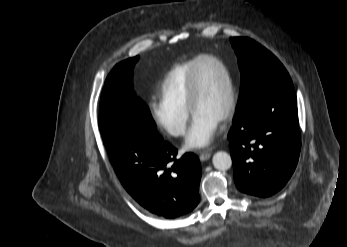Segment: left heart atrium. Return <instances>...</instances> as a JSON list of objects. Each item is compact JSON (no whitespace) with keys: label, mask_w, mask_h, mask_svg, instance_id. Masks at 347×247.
<instances>
[{"label":"left heart atrium","mask_w":347,"mask_h":247,"mask_svg":"<svg viewBox=\"0 0 347 247\" xmlns=\"http://www.w3.org/2000/svg\"><path fill=\"white\" fill-rule=\"evenodd\" d=\"M219 122L201 114H194L193 121L186 137L185 149L191 150L207 146L213 139Z\"/></svg>","instance_id":"obj_1"}]
</instances>
